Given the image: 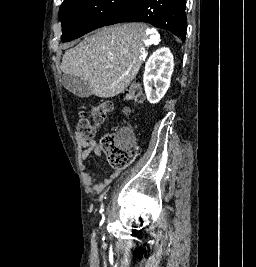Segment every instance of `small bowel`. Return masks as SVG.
Wrapping results in <instances>:
<instances>
[{
    "label": "small bowel",
    "instance_id": "obj_1",
    "mask_svg": "<svg viewBox=\"0 0 256 267\" xmlns=\"http://www.w3.org/2000/svg\"><path fill=\"white\" fill-rule=\"evenodd\" d=\"M77 142L78 145L81 147V152L79 154V162L81 170L84 171L85 166L84 162L85 160L93 153L96 157H100L102 153V146L99 141H96L92 138H86L81 135H77ZM117 172L114 171L113 173L106 176L103 180L100 182H96L95 178L88 173H83V181L85 185L92 189L95 193H101L103 192L116 178Z\"/></svg>",
    "mask_w": 256,
    "mask_h": 267
}]
</instances>
